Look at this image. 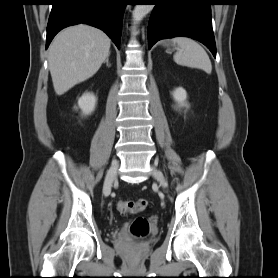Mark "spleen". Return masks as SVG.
Segmentation results:
<instances>
[{
  "mask_svg": "<svg viewBox=\"0 0 278 278\" xmlns=\"http://www.w3.org/2000/svg\"><path fill=\"white\" fill-rule=\"evenodd\" d=\"M179 51L173 56L174 61L182 66L199 68L210 74L212 71L211 61L206 51L196 41L188 37H176L172 39Z\"/></svg>",
  "mask_w": 278,
  "mask_h": 278,
  "instance_id": "1",
  "label": "spleen"
}]
</instances>
